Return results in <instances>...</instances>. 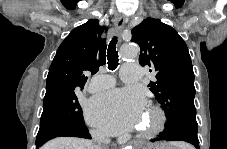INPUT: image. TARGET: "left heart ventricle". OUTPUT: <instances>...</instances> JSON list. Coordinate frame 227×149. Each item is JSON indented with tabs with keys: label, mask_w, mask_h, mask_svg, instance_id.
<instances>
[{
	"label": "left heart ventricle",
	"mask_w": 227,
	"mask_h": 149,
	"mask_svg": "<svg viewBox=\"0 0 227 149\" xmlns=\"http://www.w3.org/2000/svg\"><path fill=\"white\" fill-rule=\"evenodd\" d=\"M152 121V116L148 113L146 116L143 117L141 123H140V127L143 129L145 127H147Z\"/></svg>",
	"instance_id": "b2bd125f"
}]
</instances>
